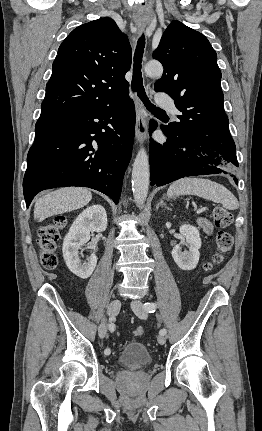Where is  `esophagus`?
<instances>
[{"mask_svg":"<svg viewBox=\"0 0 262 431\" xmlns=\"http://www.w3.org/2000/svg\"><path fill=\"white\" fill-rule=\"evenodd\" d=\"M146 25H139V32L142 33L145 30ZM136 105V125H135V137L138 143L143 142L147 138V112L141 102V100L135 96Z\"/></svg>","mask_w":262,"mask_h":431,"instance_id":"1","label":"esophagus"}]
</instances>
